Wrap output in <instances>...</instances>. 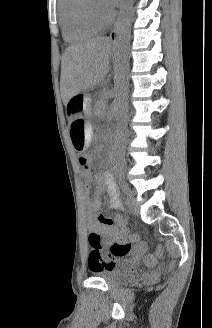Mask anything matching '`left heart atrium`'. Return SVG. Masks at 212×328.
<instances>
[{
    "label": "left heart atrium",
    "mask_w": 212,
    "mask_h": 328,
    "mask_svg": "<svg viewBox=\"0 0 212 328\" xmlns=\"http://www.w3.org/2000/svg\"><path fill=\"white\" fill-rule=\"evenodd\" d=\"M117 0H103V5L107 10H112Z\"/></svg>",
    "instance_id": "1"
}]
</instances>
